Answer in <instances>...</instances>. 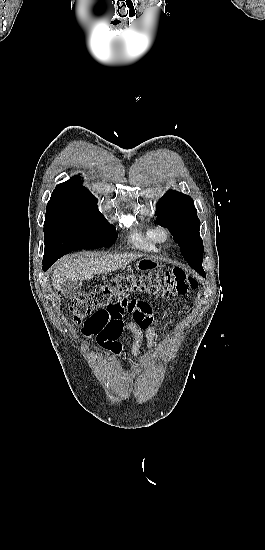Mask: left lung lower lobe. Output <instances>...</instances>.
<instances>
[{"mask_svg":"<svg viewBox=\"0 0 265 550\" xmlns=\"http://www.w3.org/2000/svg\"><path fill=\"white\" fill-rule=\"evenodd\" d=\"M193 269L196 270L201 276L206 277L203 269H199V268H193Z\"/></svg>","mask_w":265,"mask_h":550,"instance_id":"obj_1","label":"left lung lower lobe"}]
</instances>
